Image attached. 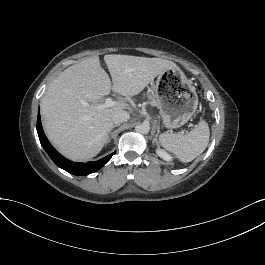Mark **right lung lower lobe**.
Instances as JSON below:
<instances>
[{"label": "right lung lower lobe", "mask_w": 265, "mask_h": 265, "mask_svg": "<svg viewBox=\"0 0 265 265\" xmlns=\"http://www.w3.org/2000/svg\"><path fill=\"white\" fill-rule=\"evenodd\" d=\"M37 133L39 136V140L47 154L50 156V158L53 160V162L60 168L64 169L65 171L81 176V175H88L90 173H93L100 168H102L112 157L113 153L98 160V161H93V162H88V163H76L69 161L62 157L49 143L47 140L46 136L44 135L42 125H41V118L40 114H38L37 117Z\"/></svg>", "instance_id": "obj_1"}]
</instances>
